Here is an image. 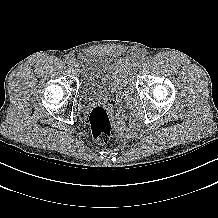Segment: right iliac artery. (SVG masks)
I'll return each instance as SVG.
<instances>
[{"label": "right iliac artery", "mask_w": 218, "mask_h": 218, "mask_svg": "<svg viewBox=\"0 0 218 218\" xmlns=\"http://www.w3.org/2000/svg\"><path fill=\"white\" fill-rule=\"evenodd\" d=\"M72 60H73V59L68 56V57L65 58V63L71 64Z\"/></svg>", "instance_id": "obj_1"}]
</instances>
